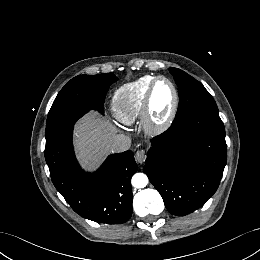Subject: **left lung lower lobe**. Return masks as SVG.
<instances>
[{"label": "left lung lower lobe", "instance_id": "obj_1", "mask_svg": "<svg viewBox=\"0 0 260 260\" xmlns=\"http://www.w3.org/2000/svg\"><path fill=\"white\" fill-rule=\"evenodd\" d=\"M151 142L143 170L167 210L184 216L201 207L217 190L227 160L218 111L195 112Z\"/></svg>", "mask_w": 260, "mask_h": 260}]
</instances>
